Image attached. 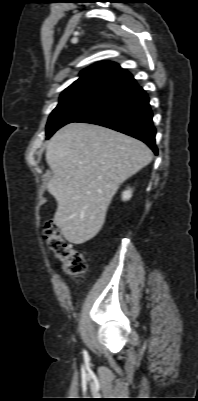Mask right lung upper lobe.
Wrapping results in <instances>:
<instances>
[{
	"instance_id": "obj_1",
	"label": "right lung upper lobe",
	"mask_w": 198,
	"mask_h": 401,
	"mask_svg": "<svg viewBox=\"0 0 198 401\" xmlns=\"http://www.w3.org/2000/svg\"><path fill=\"white\" fill-rule=\"evenodd\" d=\"M131 74L114 62L102 61L84 69L80 78L66 88L61 95L83 89H106L114 87L130 78Z\"/></svg>"
}]
</instances>
